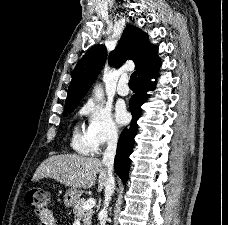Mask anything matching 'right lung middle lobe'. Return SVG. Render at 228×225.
I'll list each match as a JSON object with an SVG mask.
<instances>
[{"label":"right lung middle lobe","mask_w":228,"mask_h":225,"mask_svg":"<svg viewBox=\"0 0 228 225\" xmlns=\"http://www.w3.org/2000/svg\"><path fill=\"white\" fill-rule=\"evenodd\" d=\"M77 106H78V104H74V105H70V106L65 107L64 116H66L69 113H71Z\"/></svg>","instance_id":"dd1d6c3e"}]
</instances>
